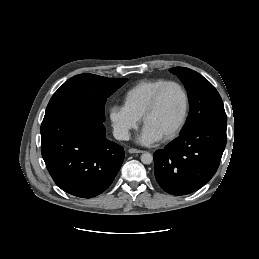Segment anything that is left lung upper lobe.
Wrapping results in <instances>:
<instances>
[{"label":"left lung upper lobe","mask_w":259,"mask_h":259,"mask_svg":"<svg viewBox=\"0 0 259 259\" xmlns=\"http://www.w3.org/2000/svg\"><path fill=\"white\" fill-rule=\"evenodd\" d=\"M170 71L184 83L190 104L189 115L180 133L206 120H227L222 99L206 78L189 68L175 67Z\"/></svg>","instance_id":"5c2ea615"}]
</instances>
